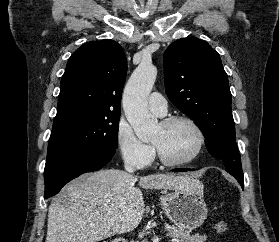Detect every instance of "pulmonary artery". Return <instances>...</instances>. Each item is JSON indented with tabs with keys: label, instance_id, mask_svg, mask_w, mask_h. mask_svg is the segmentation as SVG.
<instances>
[{
	"label": "pulmonary artery",
	"instance_id": "e3ab8cb5",
	"mask_svg": "<svg viewBox=\"0 0 279 242\" xmlns=\"http://www.w3.org/2000/svg\"><path fill=\"white\" fill-rule=\"evenodd\" d=\"M148 106L152 112L161 117L167 112V100L162 94L158 92H153L149 96Z\"/></svg>",
	"mask_w": 279,
	"mask_h": 242
}]
</instances>
